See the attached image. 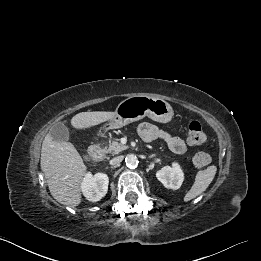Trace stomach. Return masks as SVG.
<instances>
[{"mask_svg":"<svg viewBox=\"0 0 261 261\" xmlns=\"http://www.w3.org/2000/svg\"><path fill=\"white\" fill-rule=\"evenodd\" d=\"M173 115L171 105L164 99L147 94H138L132 95L119 103L115 116L110 119L107 126L108 129L121 128L146 116L154 121L167 123Z\"/></svg>","mask_w":261,"mask_h":261,"instance_id":"1","label":"stomach"}]
</instances>
